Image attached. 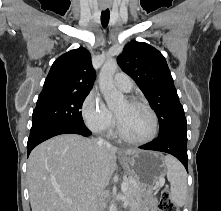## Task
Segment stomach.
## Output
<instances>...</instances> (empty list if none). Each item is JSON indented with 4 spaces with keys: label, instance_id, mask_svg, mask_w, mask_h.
Instances as JSON below:
<instances>
[{
    "label": "stomach",
    "instance_id": "stomach-1",
    "mask_svg": "<svg viewBox=\"0 0 221 211\" xmlns=\"http://www.w3.org/2000/svg\"><path fill=\"white\" fill-rule=\"evenodd\" d=\"M120 161L126 174L141 186L148 198L153 186L167 173L164 158L157 152L138 151L133 155L121 156Z\"/></svg>",
    "mask_w": 221,
    "mask_h": 211
}]
</instances>
